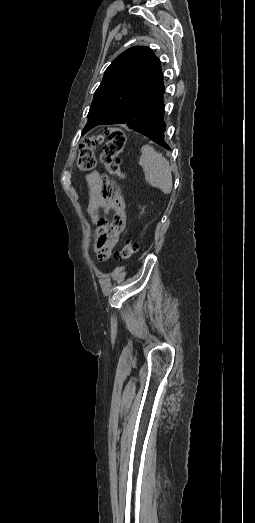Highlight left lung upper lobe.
Returning <instances> with one entry per match:
<instances>
[{
	"instance_id": "5c2ea615",
	"label": "left lung upper lobe",
	"mask_w": 255,
	"mask_h": 523,
	"mask_svg": "<svg viewBox=\"0 0 255 523\" xmlns=\"http://www.w3.org/2000/svg\"><path fill=\"white\" fill-rule=\"evenodd\" d=\"M164 93L160 60L153 51L127 49L106 69L82 135L99 124H127L134 131L156 125L165 118Z\"/></svg>"
}]
</instances>
